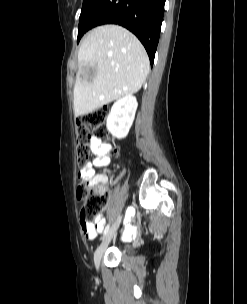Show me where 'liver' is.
Segmentation results:
<instances>
[{
    "mask_svg": "<svg viewBox=\"0 0 247 304\" xmlns=\"http://www.w3.org/2000/svg\"><path fill=\"white\" fill-rule=\"evenodd\" d=\"M148 73L147 53L135 35L118 25L93 29L82 39L78 50L74 115H85L136 93Z\"/></svg>",
    "mask_w": 247,
    "mask_h": 304,
    "instance_id": "6515ba94",
    "label": "liver"
}]
</instances>
